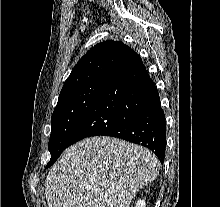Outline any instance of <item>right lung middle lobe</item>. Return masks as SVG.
<instances>
[{
	"mask_svg": "<svg viewBox=\"0 0 220 207\" xmlns=\"http://www.w3.org/2000/svg\"><path fill=\"white\" fill-rule=\"evenodd\" d=\"M106 79L95 80L59 96L51 119L49 151L51 159L46 165L50 167L65 148L76 128L92 107Z\"/></svg>",
	"mask_w": 220,
	"mask_h": 207,
	"instance_id": "1",
	"label": "right lung middle lobe"
}]
</instances>
